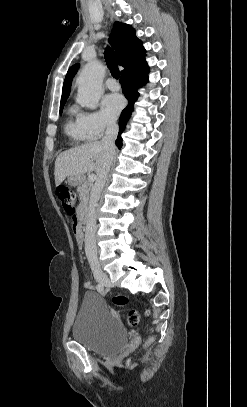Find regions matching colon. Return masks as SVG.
Returning <instances> with one entry per match:
<instances>
[{
	"mask_svg": "<svg viewBox=\"0 0 247 407\" xmlns=\"http://www.w3.org/2000/svg\"><path fill=\"white\" fill-rule=\"evenodd\" d=\"M57 195L62 203L63 210L66 215H75V194L68 186H59L57 188ZM112 302L117 307H125L128 304V298L124 295L113 296ZM141 320V314L137 310H130L127 313V322L130 325H138ZM150 342V341H149Z\"/></svg>",
	"mask_w": 247,
	"mask_h": 407,
	"instance_id": "5ec220e1",
	"label": "colon"
}]
</instances>
